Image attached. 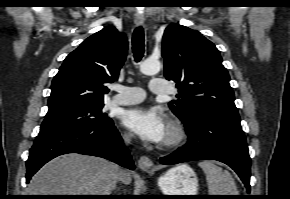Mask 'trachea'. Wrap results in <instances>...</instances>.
Here are the masks:
<instances>
[{"instance_id": "1", "label": "trachea", "mask_w": 290, "mask_h": 199, "mask_svg": "<svg viewBox=\"0 0 290 199\" xmlns=\"http://www.w3.org/2000/svg\"><path fill=\"white\" fill-rule=\"evenodd\" d=\"M144 30L141 26L134 30L132 37V49L136 62H139L144 55Z\"/></svg>"}]
</instances>
